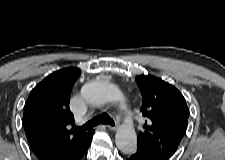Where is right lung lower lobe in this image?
Listing matches in <instances>:
<instances>
[{"mask_svg":"<svg viewBox=\"0 0 225 160\" xmlns=\"http://www.w3.org/2000/svg\"><path fill=\"white\" fill-rule=\"evenodd\" d=\"M92 140V138H91ZM91 140L84 144L75 154L73 155H62V156H56V157H50V156H42L39 157L41 160H82L84 156L86 155V152L88 150V147L91 143Z\"/></svg>","mask_w":225,"mask_h":160,"instance_id":"obj_1","label":"right lung lower lobe"}]
</instances>
